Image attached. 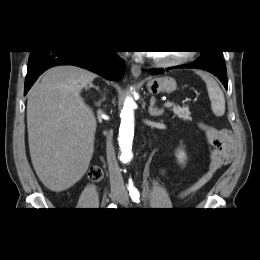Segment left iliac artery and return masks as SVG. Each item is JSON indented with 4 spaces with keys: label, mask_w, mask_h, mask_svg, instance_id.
Wrapping results in <instances>:
<instances>
[{
    "label": "left iliac artery",
    "mask_w": 260,
    "mask_h": 260,
    "mask_svg": "<svg viewBox=\"0 0 260 260\" xmlns=\"http://www.w3.org/2000/svg\"><path fill=\"white\" fill-rule=\"evenodd\" d=\"M129 191H130L131 199L134 202L139 203V201H140V193H139V191L134 186H131Z\"/></svg>",
    "instance_id": "left-iliac-artery-1"
}]
</instances>
